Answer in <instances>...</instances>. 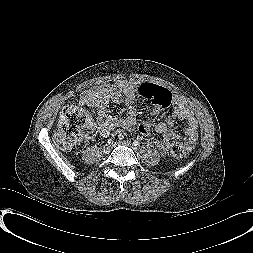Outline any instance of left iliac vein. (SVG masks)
I'll list each match as a JSON object with an SVG mask.
<instances>
[{"mask_svg": "<svg viewBox=\"0 0 253 253\" xmlns=\"http://www.w3.org/2000/svg\"><path fill=\"white\" fill-rule=\"evenodd\" d=\"M121 144H123V145H126V146H128V147H132V144H131V142L129 141V140H127V141H124V142H120ZM120 143H118V144H120ZM116 145V144H115ZM133 148V147H132Z\"/></svg>", "mask_w": 253, "mask_h": 253, "instance_id": "4c4485c4", "label": "left iliac vein"}]
</instances>
